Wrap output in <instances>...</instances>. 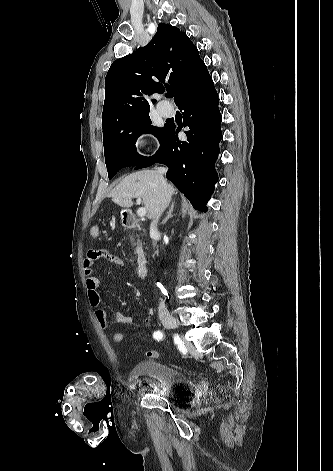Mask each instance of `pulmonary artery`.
<instances>
[{"label": "pulmonary artery", "instance_id": "obj_1", "mask_svg": "<svg viewBox=\"0 0 333 471\" xmlns=\"http://www.w3.org/2000/svg\"><path fill=\"white\" fill-rule=\"evenodd\" d=\"M157 109L160 112V114L166 117L171 116L174 112L173 106L166 101L159 102L157 105Z\"/></svg>", "mask_w": 333, "mask_h": 471}]
</instances>
